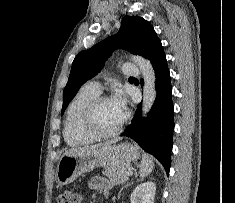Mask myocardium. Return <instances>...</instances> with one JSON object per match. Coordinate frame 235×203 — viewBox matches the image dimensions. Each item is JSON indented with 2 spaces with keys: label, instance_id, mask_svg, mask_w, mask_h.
Returning a JSON list of instances; mask_svg holds the SVG:
<instances>
[{
  "label": "myocardium",
  "instance_id": "myocardium-1",
  "mask_svg": "<svg viewBox=\"0 0 235 203\" xmlns=\"http://www.w3.org/2000/svg\"><path fill=\"white\" fill-rule=\"evenodd\" d=\"M106 100H110V97L101 94L97 95L89 102L84 112L83 127L89 134L94 136L96 139H105L118 135L122 132L123 128L129 120V113L125 112V116L122 122L115 129L111 131L101 130L96 123V113L99 105Z\"/></svg>",
  "mask_w": 235,
  "mask_h": 203
}]
</instances>
